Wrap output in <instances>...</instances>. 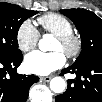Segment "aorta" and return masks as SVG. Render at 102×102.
Masks as SVG:
<instances>
[{
    "instance_id": "1",
    "label": "aorta",
    "mask_w": 102,
    "mask_h": 102,
    "mask_svg": "<svg viewBox=\"0 0 102 102\" xmlns=\"http://www.w3.org/2000/svg\"><path fill=\"white\" fill-rule=\"evenodd\" d=\"M53 42V37L50 34H45L39 41V49L41 51L51 50L50 44ZM66 82L62 77H54L50 81V88L55 93H63L65 91Z\"/></svg>"
}]
</instances>
